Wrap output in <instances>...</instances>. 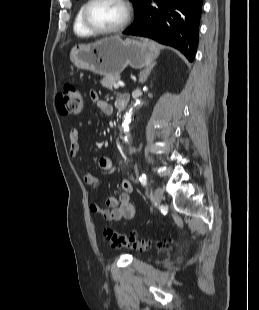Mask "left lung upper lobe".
<instances>
[{
	"label": "left lung upper lobe",
	"mask_w": 259,
	"mask_h": 310,
	"mask_svg": "<svg viewBox=\"0 0 259 310\" xmlns=\"http://www.w3.org/2000/svg\"><path fill=\"white\" fill-rule=\"evenodd\" d=\"M131 1L133 2L134 6H135L136 15H137V13H138V11H139L141 5L143 4V2H144L145 0H131Z\"/></svg>",
	"instance_id": "left-lung-upper-lobe-1"
}]
</instances>
